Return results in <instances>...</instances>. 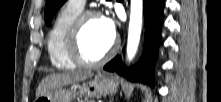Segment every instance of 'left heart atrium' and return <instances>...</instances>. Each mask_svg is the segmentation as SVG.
Listing matches in <instances>:
<instances>
[{
    "mask_svg": "<svg viewBox=\"0 0 221 102\" xmlns=\"http://www.w3.org/2000/svg\"><path fill=\"white\" fill-rule=\"evenodd\" d=\"M101 21H102V26L106 35L109 38L114 39L116 28H115V23L113 19L109 16H105L101 19Z\"/></svg>",
    "mask_w": 221,
    "mask_h": 102,
    "instance_id": "1",
    "label": "left heart atrium"
}]
</instances>
